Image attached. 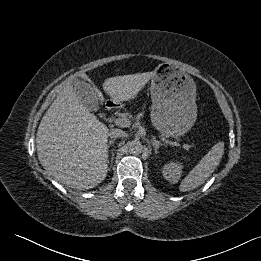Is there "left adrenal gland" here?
<instances>
[{"mask_svg": "<svg viewBox=\"0 0 261 261\" xmlns=\"http://www.w3.org/2000/svg\"><path fill=\"white\" fill-rule=\"evenodd\" d=\"M163 144H161L159 141H153L152 142V146L154 147L155 153H158V149L160 148V146H162Z\"/></svg>", "mask_w": 261, "mask_h": 261, "instance_id": "obj_1", "label": "left adrenal gland"}]
</instances>
